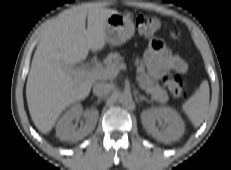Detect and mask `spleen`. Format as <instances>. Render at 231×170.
Listing matches in <instances>:
<instances>
[{
    "mask_svg": "<svg viewBox=\"0 0 231 170\" xmlns=\"http://www.w3.org/2000/svg\"><path fill=\"white\" fill-rule=\"evenodd\" d=\"M209 99V84L205 80L201 83L196 94L182 105V111L195 127L204 121L209 108Z\"/></svg>",
    "mask_w": 231,
    "mask_h": 170,
    "instance_id": "obj_1",
    "label": "spleen"
}]
</instances>
